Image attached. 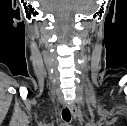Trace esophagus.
Returning <instances> with one entry per match:
<instances>
[{
  "label": "esophagus",
  "mask_w": 127,
  "mask_h": 126,
  "mask_svg": "<svg viewBox=\"0 0 127 126\" xmlns=\"http://www.w3.org/2000/svg\"><path fill=\"white\" fill-rule=\"evenodd\" d=\"M66 106L69 108V110H70L72 116H73L74 118H76V117H77V109H76V106H75L73 103H69V104H67Z\"/></svg>",
  "instance_id": "esophagus-1"
}]
</instances>
